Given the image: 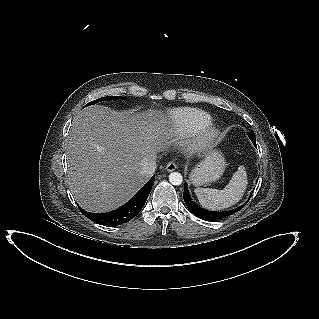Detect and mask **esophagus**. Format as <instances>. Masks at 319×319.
<instances>
[{
  "label": "esophagus",
  "mask_w": 319,
  "mask_h": 319,
  "mask_svg": "<svg viewBox=\"0 0 319 319\" xmlns=\"http://www.w3.org/2000/svg\"><path fill=\"white\" fill-rule=\"evenodd\" d=\"M176 168H177V165H176V163H175L174 161H170V162H168V164L166 165V170H167L168 172H172V171L176 170Z\"/></svg>",
  "instance_id": "1"
}]
</instances>
